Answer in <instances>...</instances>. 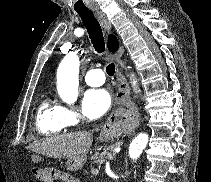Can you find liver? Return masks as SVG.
Instances as JSON below:
<instances>
[{
  "instance_id": "1",
  "label": "liver",
  "mask_w": 211,
  "mask_h": 182,
  "mask_svg": "<svg viewBox=\"0 0 211 182\" xmlns=\"http://www.w3.org/2000/svg\"><path fill=\"white\" fill-rule=\"evenodd\" d=\"M92 142L90 132H75L34 141L27 149L47 157L69 159L87 155Z\"/></svg>"
}]
</instances>
